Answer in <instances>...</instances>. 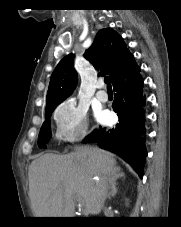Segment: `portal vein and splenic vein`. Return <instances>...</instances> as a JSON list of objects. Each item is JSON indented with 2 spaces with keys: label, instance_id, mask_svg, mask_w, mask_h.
Segmentation results:
<instances>
[{
  "label": "portal vein and splenic vein",
  "instance_id": "1",
  "mask_svg": "<svg viewBox=\"0 0 181 227\" xmlns=\"http://www.w3.org/2000/svg\"><path fill=\"white\" fill-rule=\"evenodd\" d=\"M79 202H80V204H82L83 202H82V200H79Z\"/></svg>",
  "mask_w": 181,
  "mask_h": 227
}]
</instances>
